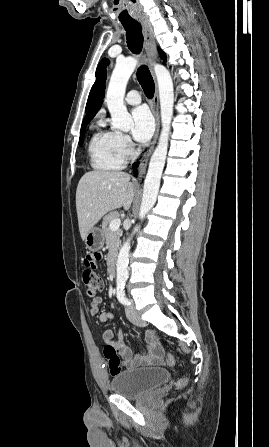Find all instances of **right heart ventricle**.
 <instances>
[{
  "mask_svg": "<svg viewBox=\"0 0 269 447\" xmlns=\"http://www.w3.org/2000/svg\"><path fill=\"white\" fill-rule=\"evenodd\" d=\"M101 127L103 124H100ZM90 162L94 169H117L124 163L125 156L119 145V133L99 128L90 146Z\"/></svg>",
  "mask_w": 269,
  "mask_h": 447,
  "instance_id": "1",
  "label": "right heart ventricle"
}]
</instances>
